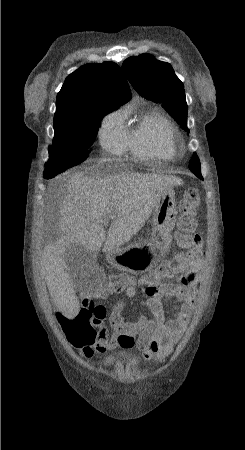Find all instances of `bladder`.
<instances>
[{
  "label": "bladder",
  "instance_id": "obj_1",
  "mask_svg": "<svg viewBox=\"0 0 245 450\" xmlns=\"http://www.w3.org/2000/svg\"><path fill=\"white\" fill-rule=\"evenodd\" d=\"M135 358L131 350L125 352H115L103 360V365L108 370H114L125 364H134Z\"/></svg>",
  "mask_w": 245,
  "mask_h": 450
}]
</instances>
